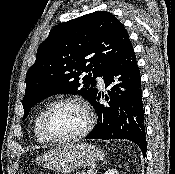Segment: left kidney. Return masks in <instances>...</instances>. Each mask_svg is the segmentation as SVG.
Returning a JSON list of instances; mask_svg holds the SVG:
<instances>
[{
  "label": "left kidney",
  "mask_w": 175,
  "mask_h": 174,
  "mask_svg": "<svg viewBox=\"0 0 175 174\" xmlns=\"http://www.w3.org/2000/svg\"><path fill=\"white\" fill-rule=\"evenodd\" d=\"M104 174H119L116 169H108Z\"/></svg>",
  "instance_id": "5707ae66"
}]
</instances>
